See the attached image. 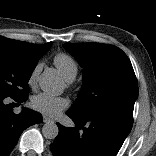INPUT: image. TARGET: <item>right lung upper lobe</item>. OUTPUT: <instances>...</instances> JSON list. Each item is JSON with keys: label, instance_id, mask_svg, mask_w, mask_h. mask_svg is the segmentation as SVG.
<instances>
[{"label": "right lung upper lobe", "instance_id": "cb5924a9", "mask_svg": "<svg viewBox=\"0 0 156 156\" xmlns=\"http://www.w3.org/2000/svg\"><path fill=\"white\" fill-rule=\"evenodd\" d=\"M52 42L36 45L28 42H22L12 39H7L0 36V47H6L16 52H19L28 59H40L51 47Z\"/></svg>", "mask_w": 156, "mask_h": 156}]
</instances>
